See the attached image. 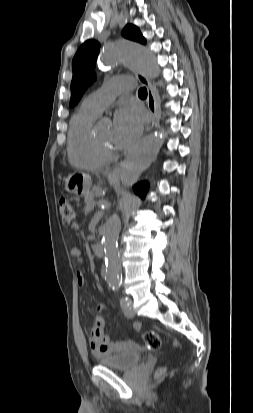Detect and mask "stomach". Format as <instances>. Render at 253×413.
Listing matches in <instances>:
<instances>
[{
    "label": "stomach",
    "mask_w": 253,
    "mask_h": 413,
    "mask_svg": "<svg viewBox=\"0 0 253 413\" xmlns=\"http://www.w3.org/2000/svg\"><path fill=\"white\" fill-rule=\"evenodd\" d=\"M64 181L65 190L70 194H74L75 196L81 197L86 196L88 193H90L92 181L91 177L86 173H72L68 175Z\"/></svg>",
    "instance_id": "0dacf381"
}]
</instances>
